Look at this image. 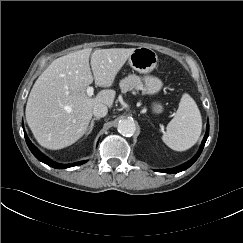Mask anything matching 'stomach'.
Returning a JSON list of instances; mask_svg holds the SVG:
<instances>
[{
	"mask_svg": "<svg viewBox=\"0 0 243 243\" xmlns=\"http://www.w3.org/2000/svg\"><path fill=\"white\" fill-rule=\"evenodd\" d=\"M129 65L137 72L141 74H149L152 72L158 64V56L156 52L147 47H139L128 58ZM145 90L147 94H155L160 91L162 82L157 77L146 75L144 76ZM155 113L160 112L158 104L152 105Z\"/></svg>",
	"mask_w": 243,
	"mask_h": 243,
	"instance_id": "stomach-1",
	"label": "stomach"
}]
</instances>
